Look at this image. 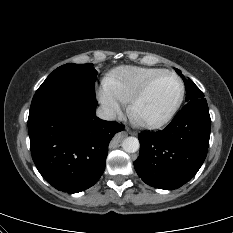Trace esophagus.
I'll return each instance as SVG.
<instances>
[{
    "label": "esophagus",
    "instance_id": "obj_1",
    "mask_svg": "<svg viewBox=\"0 0 233 233\" xmlns=\"http://www.w3.org/2000/svg\"><path fill=\"white\" fill-rule=\"evenodd\" d=\"M126 131L131 134V135H135V132H133L132 130H130L129 128L126 129Z\"/></svg>",
    "mask_w": 233,
    "mask_h": 233
}]
</instances>
